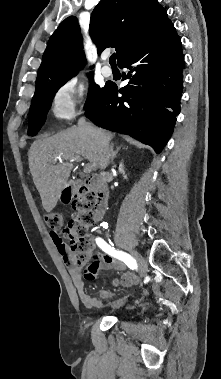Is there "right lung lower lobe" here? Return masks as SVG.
I'll use <instances>...</instances> for the list:
<instances>
[{"instance_id": "1", "label": "right lung lower lobe", "mask_w": 221, "mask_h": 379, "mask_svg": "<svg viewBox=\"0 0 221 379\" xmlns=\"http://www.w3.org/2000/svg\"><path fill=\"white\" fill-rule=\"evenodd\" d=\"M118 65L129 69L123 75L128 84L121 89L106 84L85 115L95 125L130 135L160 153L180 112L185 67L181 41L171 21L124 54Z\"/></svg>"}]
</instances>
